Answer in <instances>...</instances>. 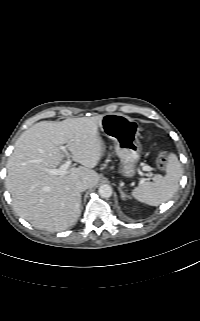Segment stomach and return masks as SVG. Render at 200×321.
I'll list each match as a JSON object with an SVG mask.
<instances>
[{
  "mask_svg": "<svg viewBox=\"0 0 200 321\" xmlns=\"http://www.w3.org/2000/svg\"><path fill=\"white\" fill-rule=\"evenodd\" d=\"M100 130L104 136L115 142V151L120 158V174L124 178H132L136 173L142 150L138 140V123L123 114H105L100 123Z\"/></svg>",
  "mask_w": 200,
  "mask_h": 321,
  "instance_id": "obj_1",
  "label": "stomach"
}]
</instances>
